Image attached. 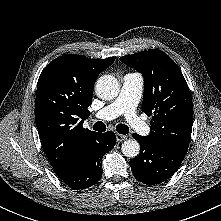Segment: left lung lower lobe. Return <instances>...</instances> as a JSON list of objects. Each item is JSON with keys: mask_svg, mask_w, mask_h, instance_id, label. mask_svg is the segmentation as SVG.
I'll list each match as a JSON object with an SVG mask.
<instances>
[{"mask_svg": "<svg viewBox=\"0 0 221 221\" xmlns=\"http://www.w3.org/2000/svg\"><path fill=\"white\" fill-rule=\"evenodd\" d=\"M140 144V153L130 160L134 177L149 185L169 179L179 168L186 154L156 147L138 134H133Z\"/></svg>", "mask_w": 221, "mask_h": 221, "instance_id": "obj_1", "label": "left lung lower lobe"}]
</instances>
